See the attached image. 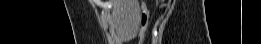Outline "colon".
Wrapping results in <instances>:
<instances>
[{
	"mask_svg": "<svg viewBox=\"0 0 261 44\" xmlns=\"http://www.w3.org/2000/svg\"><path fill=\"white\" fill-rule=\"evenodd\" d=\"M143 12L146 13V8L145 7H143ZM142 21H143V18H142Z\"/></svg>",
	"mask_w": 261,
	"mask_h": 44,
	"instance_id": "colon-1",
	"label": "colon"
}]
</instances>
